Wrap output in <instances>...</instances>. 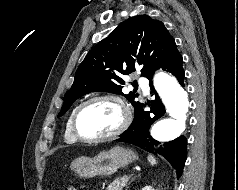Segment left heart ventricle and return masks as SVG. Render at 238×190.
I'll list each match as a JSON object with an SVG mask.
<instances>
[{
  "label": "left heart ventricle",
  "mask_w": 238,
  "mask_h": 190,
  "mask_svg": "<svg viewBox=\"0 0 238 190\" xmlns=\"http://www.w3.org/2000/svg\"><path fill=\"white\" fill-rule=\"evenodd\" d=\"M119 107L111 101H97L86 106L78 118V129L87 137L103 136L114 131L121 123Z\"/></svg>",
  "instance_id": "obj_1"
}]
</instances>
